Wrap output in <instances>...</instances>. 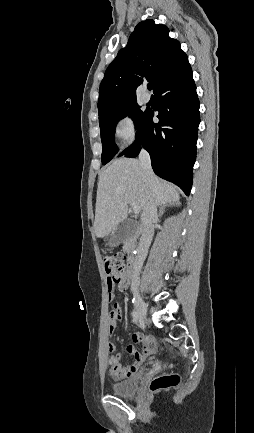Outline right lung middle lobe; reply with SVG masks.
Returning <instances> with one entry per match:
<instances>
[{"label": "right lung middle lobe", "instance_id": "right-lung-middle-lobe-1", "mask_svg": "<svg viewBox=\"0 0 254 433\" xmlns=\"http://www.w3.org/2000/svg\"><path fill=\"white\" fill-rule=\"evenodd\" d=\"M146 112L147 110H140V106L135 101L106 110L99 114L100 133L103 145V164L108 163L118 151L117 146L114 143L115 127L118 121L126 116H129L133 119L137 128L139 122Z\"/></svg>", "mask_w": 254, "mask_h": 433}]
</instances>
